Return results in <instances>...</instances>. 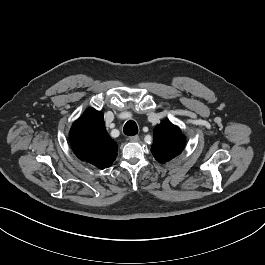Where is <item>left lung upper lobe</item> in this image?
<instances>
[{
    "label": "left lung upper lobe",
    "mask_w": 265,
    "mask_h": 265,
    "mask_svg": "<svg viewBox=\"0 0 265 265\" xmlns=\"http://www.w3.org/2000/svg\"><path fill=\"white\" fill-rule=\"evenodd\" d=\"M185 146V137L179 127L163 121L154 129V143L151 151L160 163L179 155Z\"/></svg>",
    "instance_id": "obj_1"
}]
</instances>
